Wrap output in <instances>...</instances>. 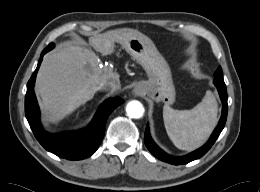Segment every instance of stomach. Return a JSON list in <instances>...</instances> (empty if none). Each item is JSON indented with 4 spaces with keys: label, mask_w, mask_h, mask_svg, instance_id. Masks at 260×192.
<instances>
[{
    "label": "stomach",
    "mask_w": 260,
    "mask_h": 192,
    "mask_svg": "<svg viewBox=\"0 0 260 192\" xmlns=\"http://www.w3.org/2000/svg\"><path fill=\"white\" fill-rule=\"evenodd\" d=\"M117 36V41L137 60L149 76L148 81L139 83L144 86L142 94L156 102L163 101L168 105L172 104L175 101L176 92L171 70L152 40L132 29L118 30Z\"/></svg>",
    "instance_id": "1"
}]
</instances>
